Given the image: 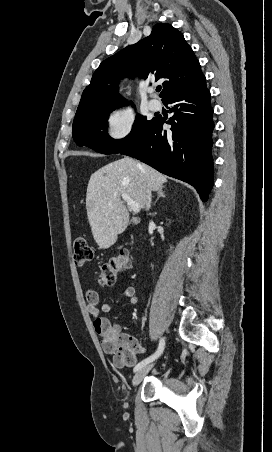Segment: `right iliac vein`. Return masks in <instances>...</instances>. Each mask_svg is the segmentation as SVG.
<instances>
[{
  "mask_svg": "<svg viewBox=\"0 0 272 452\" xmlns=\"http://www.w3.org/2000/svg\"><path fill=\"white\" fill-rule=\"evenodd\" d=\"M152 366H153V364L146 365L136 372V374L134 375V377L132 379V385L134 387L137 386L142 381V379L150 371Z\"/></svg>",
  "mask_w": 272,
  "mask_h": 452,
  "instance_id": "1",
  "label": "right iliac vein"
}]
</instances>
